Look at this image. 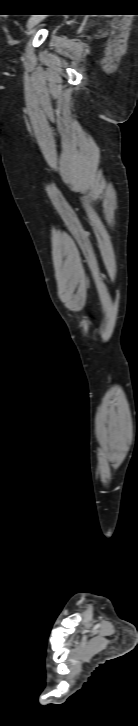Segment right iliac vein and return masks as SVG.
Returning <instances> with one entry per match:
<instances>
[{"label": "right iliac vein", "instance_id": "1", "mask_svg": "<svg viewBox=\"0 0 138 726\" xmlns=\"http://www.w3.org/2000/svg\"><path fill=\"white\" fill-rule=\"evenodd\" d=\"M42 20L41 16L34 15L32 16L28 22H27V29H32L35 25H37Z\"/></svg>", "mask_w": 138, "mask_h": 726}]
</instances>
